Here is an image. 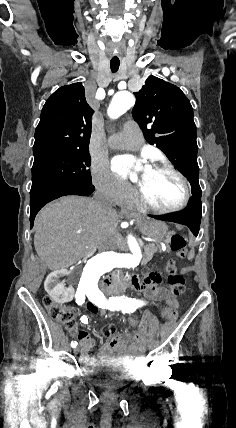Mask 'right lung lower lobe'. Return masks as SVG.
<instances>
[{"label": "right lung lower lobe", "instance_id": "98d812e1", "mask_svg": "<svg viewBox=\"0 0 236 428\" xmlns=\"http://www.w3.org/2000/svg\"><path fill=\"white\" fill-rule=\"evenodd\" d=\"M95 190L93 185H62L47 188L30 194V227L34 225V219L38 211L48 202L66 195H90Z\"/></svg>", "mask_w": 236, "mask_h": 428}]
</instances>
